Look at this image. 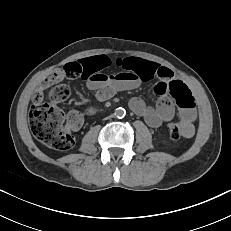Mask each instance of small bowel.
<instances>
[{
    "label": "small bowel",
    "instance_id": "c3829d8e",
    "mask_svg": "<svg viewBox=\"0 0 231 231\" xmlns=\"http://www.w3.org/2000/svg\"><path fill=\"white\" fill-rule=\"evenodd\" d=\"M72 63H77L81 67L80 77L86 80L89 90L96 92L99 102L110 99L119 91L135 89L146 81L156 79L154 86L156 105L149 106L142 99L134 97L129 101L130 109L143 117L150 127L156 128L174 118L175 102L183 136L190 138L194 135V122L197 117L194 97L189 87L177 79L170 69L137 57L113 60L105 55L91 56ZM112 66L120 70L116 73H106V70ZM64 77H66L64 70L55 71L39 85L33 101H42L46 90ZM94 111L95 107L92 106L86 109L87 114ZM78 128L80 126L73 130Z\"/></svg>",
    "mask_w": 231,
    "mask_h": 231
}]
</instances>
